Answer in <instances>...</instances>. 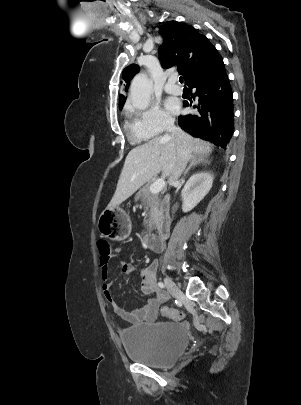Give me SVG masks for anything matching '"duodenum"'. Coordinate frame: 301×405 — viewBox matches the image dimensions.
<instances>
[{
  "instance_id": "obj_1",
  "label": "duodenum",
  "mask_w": 301,
  "mask_h": 405,
  "mask_svg": "<svg viewBox=\"0 0 301 405\" xmlns=\"http://www.w3.org/2000/svg\"><path fill=\"white\" fill-rule=\"evenodd\" d=\"M162 216L158 223L157 233L147 234L144 240L147 246L154 252H161L164 250L165 239L168 235L170 228V220L168 217L169 199L164 198L161 204Z\"/></svg>"
}]
</instances>
